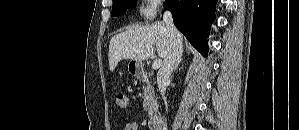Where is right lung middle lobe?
I'll return each mask as SVG.
<instances>
[{
  "mask_svg": "<svg viewBox=\"0 0 299 130\" xmlns=\"http://www.w3.org/2000/svg\"><path fill=\"white\" fill-rule=\"evenodd\" d=\"M137 0H115L112 6V16H120L125 13L127 8H134Z\"/></svg>",
  "mask_w": 299,
  "mask_h": 130,
  "instance_id": "obj_1",
  "label": "right lung middle lobe"
}]
</instances>
